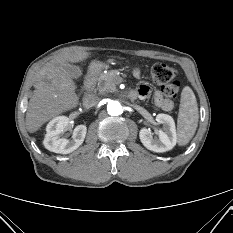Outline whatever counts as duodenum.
<instances>
[{
  "instance_id": "1",
  "label": "duodenum",
  "mask_w": 233,
  "mask_h": 233,
  "mask_svg": "<svg viewBox=\"0 0 233 233\" xmlns=\"http://www.w3.org/2000/svg\"><path fill=\"white\" fill-rule=\"evenodd\" d=\"M100 69L98 68L97 65H93L89 71H88V74L85 78V81H84V90L86 92H89L90 89L92 88L93 84H94V80H95V77L97 76V74L99 73ZM130 98L132 99H135L136 98V93L134 91H131L130 94H129Z\"/></svg>"
}]
</instances>
